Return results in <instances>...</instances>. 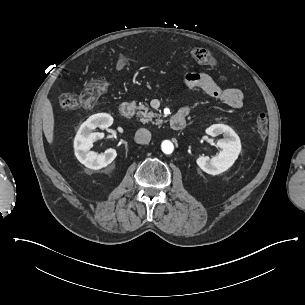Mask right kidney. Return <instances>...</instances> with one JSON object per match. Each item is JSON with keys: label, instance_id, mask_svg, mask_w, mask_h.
I'll use <instances>...</instances> for the list:
<instances>
[{"label": "right kidney", "instance_id": "ca27d5eb", "mask_svg": "<svg viewBox=\"0 0 305 305\" xmlns=\"http://www.w3.org/2000/svg\"><path fill=\"white\" fill-rule=\"evenodd\" d=\"M113 122L111 116L107 114H98L89 118V120L84 123L75 139H74V150L77 160L83 164L85 167L91 170H99L101 168L107 167L113 162L117 156V152L114 148H108L104 153L96 156L95 153L89 152L94 141L100 139L98 133H91V129L99 127L101 130L108 128ZM94 134V137H92Z\"/></svg>", "mask_w": 305, "mask_h": 305}]
</instances>
